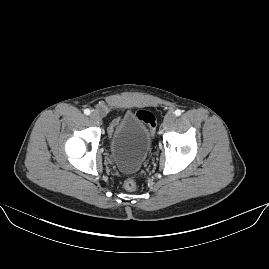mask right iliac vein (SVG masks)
<instances>
[{
  "label": "right iliac vein",
  "instance_id": "1",
  "mask_svg": "<svg viewBox=\"0 0 269 269\" xmlns=\"http://www.w3.org/2000/svg\"><path fill=\"white\" fill-rule=\"evenodd\" d=\"M90 120L93 124L100 125L101 124V117L98 113L93 112L90 114Z\"/></svg>",
  "mask_w": 269,
  "mask_h": 269
}]
</instances>
